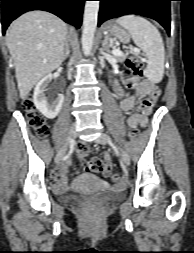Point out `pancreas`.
<instances>
[{"label":"pancreas","instance_id":"cf45deb5","mask_svg":"<svg viewBox=\"0 0 194 253\" xmlns=\"http://www.w3.org/2000/svg\"><path fill=\"white\" fill-rule=\"evenodd\" d=\"M127 54H123L122 55H118V56H115V58L119 61V62H122L125 60Z\"/></svg>","mask_w":194,"mask_h":253}]
</instances>
